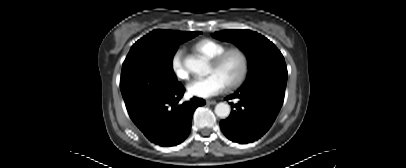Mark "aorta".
<instances>
[{"label": "aorta", "mask_w": 406, "mask_h": 168, "mask_svg": "<svg viewBox=\"0 0 406 168\" xmlns=\"http://www.w3.org/2000/svg\"><path fill=\"white\" fill-rule=\"evenodd\" d=\"M185 67L200 76L208 74V63L204 58L188 57L184 61ZM215 114L220 118H226L230 114V106L224 102L218 103L215 107Z\"/></svg>", "instance_id": "obj_1"}]
</instances>
